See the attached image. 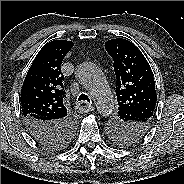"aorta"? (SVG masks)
<instances>
[{
    "mask_svg": "<svg viewBox=\"0 0 184 184\" xmlns=\"http://www.w3.org/2000/svg\"><path fill=\"white\" fill-rule=\"evenodd\" d=\"M76 76L91 95L98 113L102 116L110 115L115 101L101 69L94 63L83 62L76 68Z\"/></svg>",
    "mask_w": 184,
    "mask_h": 184,
    "instance_id": "aorta-1",
    "label": "aorta"
}]
</instances>
